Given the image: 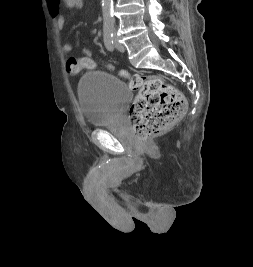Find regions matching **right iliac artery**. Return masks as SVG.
<instances>
[{"mask_svg": "<svg viewBox=\"0 0 253 267\" xmlns=\"http://www.w3.org/2000/svg\"><path fill=\"white\" fill-rule=\"evenodd\" d=\"M104 44L109 51L114 50L113 32L110 29H104Z\"/></svg>", "mask_w": 253, "mask_h": 267, "instance_id": "obj_1", "label": "right iliac artery"}]
</instances>
